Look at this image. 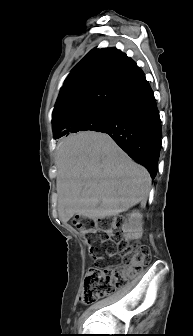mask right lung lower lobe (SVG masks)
I'll use <instances>...</instances> for the list:
<instances>
[{
	"label": "right lung lower lobe",
	"mask_w": 193,
	"mask_h": 336,
	"mask_svg": "<svg viewBox=\"0 0 193 336\" xmlns=\"http://www.w3.org/2000/svg\"><path fill=\"white\" fill-rule=\"evenodd\" d=\"M99 132L107 133L151 177L157 174L161 148V120L153 91L139 70L113 102Z\"/></svg>",
	"instance_id": "98d812e1"
}]
</instances>
